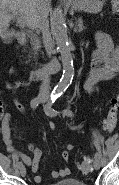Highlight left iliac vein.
Returning <instances> with one entry per match:
<instances>
[{
    "label": "left iliac vein",
    "mask_w": 119,
    "mask_h": 185,
    "mask_svg": "<svg viewBox=\"0 0 119 185\" xmlns=\"http://www.w3.org/2000/svg\"><path fill=\"white\" fill-rule=\"evenodd\" d=\"M93 166L96 170H98L100 168V158L99 157H95L94 158V163Z\"/></svg>",
    "instance_id": "1"
}]
</instances>
